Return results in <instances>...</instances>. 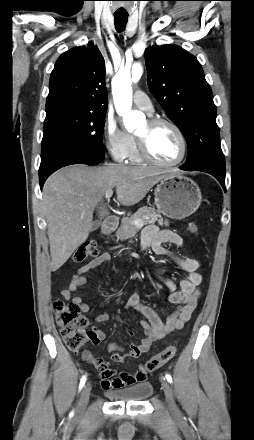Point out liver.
Masks as SVG:
<instances>
[{"label": "liver", "mask_w": 254, "mask_h": 440, "mask_svg": "<svg viewBox=\"0 0 254 440\" xmlns=\"http://www.w3.org/2000/svg\"><path fill=\"white\" fill-rule=\"evenodd\" d=\"M169 172L146 167L106 164L89 167L76 164L48 177L42 192L47 221L51 270L59 269L86 241L93 226V212L107 214L99 206L105 193L116 187L117 200L125 206L140 202L149 190Z\"/></svg>", "instance_id": "liver-1"}]
</instances>
